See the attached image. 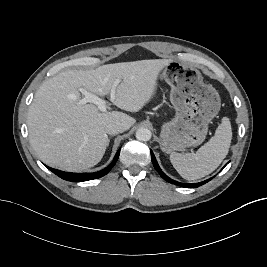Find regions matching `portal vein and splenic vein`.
<instances>
[{
    "label": "portal vein and splenic vein",
    "instance_id": "obj_1",
    "mask_svg": "<svg viewBox=\"0 0 267 267\" xmlns=\"http://www.w3.org/2000/svg\"><path fill=\"white\" fill-rule=\"evenodd\" d=\"M117 83L114 84L112 90H111V99L110 101L112 102L115 99V87H116ZM80 92L84 95V98L80 100V104H86V103H93L95 105H97L98 109L101 112H106V109L108 107V104L105 100L99 98L98 96L88 92L86 89L84 88H80Z\"/></svg>",
    "mask_w": 267,
    "mask_h": 267
}]
</instances>
